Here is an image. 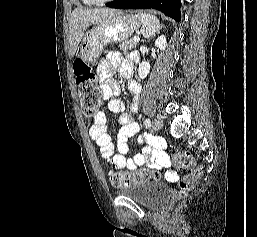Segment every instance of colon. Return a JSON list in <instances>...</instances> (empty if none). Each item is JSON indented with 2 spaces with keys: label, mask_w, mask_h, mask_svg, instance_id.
I'll return each instance as SVG.
<instances>
[{
  "label": "colon",
  "mask_w": 257,
  "mask_h": 237,
  "mask_svg": "<svg viewBox=\"0 0 257 237\" xmlns=\"http://www.w3.org/2000/svg\"><path fill=\"white\" fill-rule=\"evenodd\" d=\"M74 73L78 94L81 100L82 112L86 116H95L101 105L102 91L97 83V78L92 68L82 59L74 62ZM174 161L179 168L187 169L179 181V194L185 196L193 188L194 182L202 175V168L197 166L188 152L174 155ZM156 174L148 169L131 173L111 172L110 181L113 187L121 188L134 183L148 181L156 178Z\"/></svg>",
  "instance_id": "colon-1"
}]
</instances>
